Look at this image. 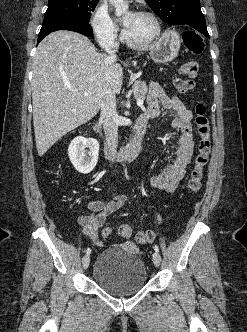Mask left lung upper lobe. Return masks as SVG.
Masks as SVG:
<instances>
[{"instance_id": "left-lung-upper-lobe-1", "label": "left lung upper lobe", "mask_w": 247, "mask_h": 332, "mask_svg": "<svg viewBox=\"0 0 247 332\" xmlns=\"http://www.w3.org/2000/svg\"><path fill=\"white\" fill-rule=\"evenodd\" d=\"M160 18L171 25H185L197 30L206 24L201 11L200 0H146Z\"/></svg>"}]
</instances>
